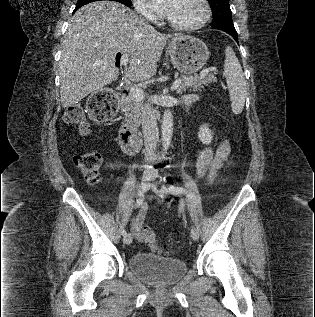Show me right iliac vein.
Returning <instances> with one entry per match:
<instances>
[{"instance_id":"obj_1","label":"right iliac vein","mask_w":315,"mask_h":317,"mask_svg":"<svg viewBox=\"0 0 315 317\" xmlns=\"http://www.w3.org/2000/svg\"><path fill=\"white\" fill-rule=\"evenodd\" d=\"M151 180H152V175L149 173H145L141 182V188L144 192L150 188ZM123 242L124 244L129 245L132 242V235L126 234L123 238Z\"/></svg>"}]
</instances>
